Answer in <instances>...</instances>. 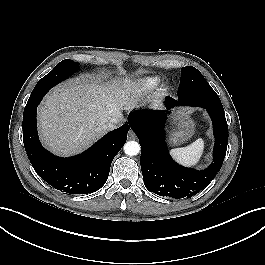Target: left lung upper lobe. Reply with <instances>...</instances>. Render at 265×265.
Returning <instances> with one entry per match:
<instances>
[{
	"label": "left lung upper lobe",
	"instance_id": "left-lung-upper-lobe-1",
	"mask_svg": "<svg viewBox=\"0 0 265 265\" xmlns=\"http://www.w3.org/2000/svg\"><path fill=\"white\" fill-rule=\"evenodd\" d=\"M201 89H211L209 83L205 80L202 74L192 66H186L181 69V79L178 90L179 99L190 100L195 97L196 93ZM212 106L223 110V106L218 95L209 101Z\"/></svg>",
	"mask_w": 265,
	"mask_h": 265
}]
</instances>
